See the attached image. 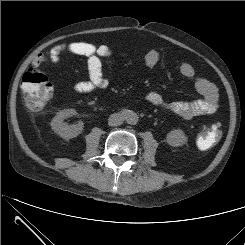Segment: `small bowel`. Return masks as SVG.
<instances>
[{"label": "small bowel", "mask_w": 245, "mask_h": 245, "mask_svg": "<svg viewBox=\"0 0 245 245\" xmlns=\"http://www.w3.org/2000/svg\"><path fill=\"white\" fill-rule=\"evenodd\" d=\"M63 53L86 58L88 79L76 83L73 88L75 92L84 93L109 85V80L102 72V59L108 58L112 54V50L106 45L96 46L86 42L61 43L39 54L34 59L33 64L39 66L49 62L53 65H60ZM159 60L160 53L157 50H150L145 55V63L149 68L155 67ZM179 72L184 78L194 81L196 91L199 94L198 99L189 102H166L158 93L152 92L148 95V101L182 119H191L215 112L219 107V95L216 86L209 80L196 76L195 69L189 63H182Z\"/></svg>", "instance_id": "c3829d8e"}]
</instances>
